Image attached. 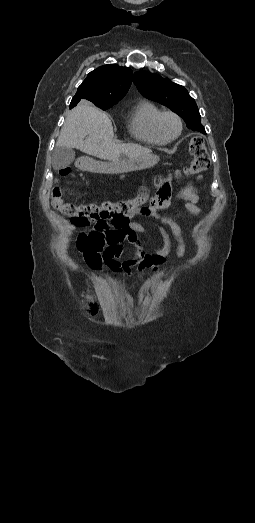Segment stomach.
Masks as SVG:
<instances>
[{
	"instance_id": "1",
	"label": "stomach",
	"mask_w": 255,
	"mask_h": 523,
	"mask_svg": "<svg viewBox=\"0 0 255 523\" xmlns=\"http://www.w3.org/2000/svg\"><path fill=\"white\" fill-rule=\"evenodd\" d=\"M157 164V159L153 156H145V158H134V160H127L124 164L110 165L108 167V174L110 176H119L122 172H136V170H146Z\"/></svg>"
}]
</instances>
